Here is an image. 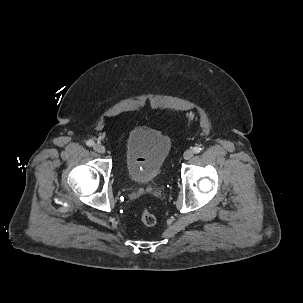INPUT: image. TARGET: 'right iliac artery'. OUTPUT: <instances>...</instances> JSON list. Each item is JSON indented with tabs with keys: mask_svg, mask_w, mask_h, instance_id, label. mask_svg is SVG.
<instances>
[{
	"mask_svg": "<svg viewBox=\"0 0 303 303\" xmlns=\"http://www.w3.org/2000/svg\"><path fill=\"white\" fill-rule=\"evenodd\" d=\"M86 144H87V146H93V145H94V141L88 140V141L86 142Z\"/></svg>",
	"mask_w": 303,
	"mask_h": 303,
	"instance_id": "1",
	"label": "right iliac artery"
}]
</instances>
